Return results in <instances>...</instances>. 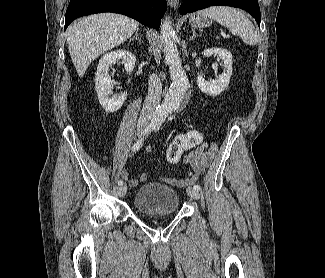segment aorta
<instances>
[{
	"label": "aorta",
	"mask_w": 325,
	"mask_h": 278,
	"mask_svg": "<svg viewBox=\"0 0 325 278\" xmlns=\"http://www.w3.org/2000/svg\"><path fill=\"white\" fill-rule=\"evenodd\" d=\"M164 46L165 61L169 66V73L172 83L165 96L164 101L159 105L154 114V120L162 123L168 114L181 106L187 93L189 82L182 66L177 46L173 40L174 30L169 17H166L160 27Z\"/></svg>",
	"instance_id": "762f6f07"
}]
</instances>
